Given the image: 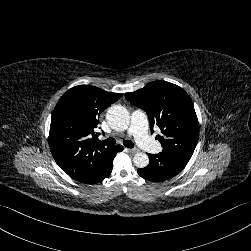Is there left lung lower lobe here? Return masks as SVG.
<instances>
[{
    "label": "left lung lower lobe",
    "instance_id": "obj_1",
    "mask_svg": "<svg viewBox=\"0 0 251 251\" xmlns=\"http://www.w3.org/2000/svg\"><path fill=\"white\" fill-rule=\"evenodd\" d=\"M148 156L150 160L148 166L138 169V174L151 182H164L171 179L182 171L189 161L164 152L148 154Z\"/></svg>",
    "mask_w": 251,
    "mask_h": 251
}]
</instances>
